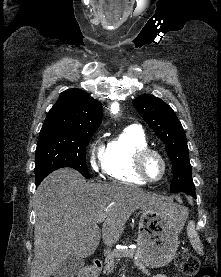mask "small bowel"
Listing matches in <instances>:
<instances>
[{"label":"small bowel","instance_id":"1","mask_svg":"<svg viewBox=\"0 0 221 277\" xmlns=\"http://www.w3.org/2000/svg\"><path fill=\"white\" fill-rule=\"evenodd\" d=\"M155 277H167V276H166V275H164V274H160V275L155 276Z\"/></svg>","mask_w":221,"mask_h":277}]
</instances>
